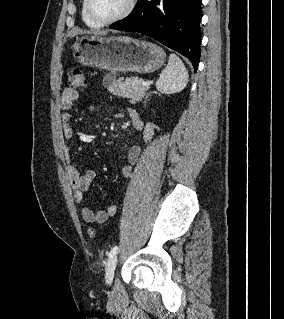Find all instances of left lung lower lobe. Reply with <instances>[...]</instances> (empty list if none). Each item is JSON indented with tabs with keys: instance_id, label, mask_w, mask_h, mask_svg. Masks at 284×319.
<instances>
[{
	"instance_id": "0a47b994",
	"label": "left lung lower lobe",
	"mask_w": 284,
	"mask_h": 319,
	"mask_svg": "<svg viewBox=\"0 0 284 319\" xmlns=\"http://www.w3.org/2000/svg\"><path fill=\"white\" fill-rule=\"evenodd\" d=\"M202 0H139L132 13L110 26L150 36L181 53L197 71L201 46Z\"/></svg>"
}]
</instances>
